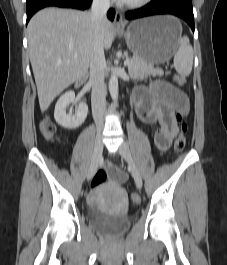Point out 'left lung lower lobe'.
<instances>
[{"mask_svg": "<svg viewBox=\"0 0 227 265\" xmlns=\"http://www.w3.org/2000/svg\"><path fill=\"white\" fill-rule=\"evenodd\" d=\"M158 14H172L185 20L194 32L192 0H152L148 5L125 14L127 19H136Z\"/></svg>", "mask_w": 227, "mask_h": 265, "instance_id": "1", "label": "left lung lower lobe"}]
</instances>
